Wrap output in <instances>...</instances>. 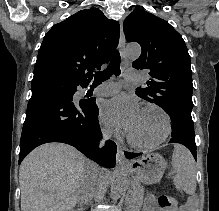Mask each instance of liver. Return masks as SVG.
<instances>
[{
  "label": "liver",
  "instance_id": "liver-1",
  "mask_svg": "<svg viewBox=\"0 0 219 211\" xmlns=\"http://www.w3.org/2000/svg\"><path fill=\"white\" fill-rule=\"evenodd\" d=\"M100 169L83 153L66 143L35 147L19 169L21 211H73L87 175H94V193ZM93 197V195H92Z\"/></svg>",
  "mask_w": 219,
  "mask_h": 211
}]
</instances>
